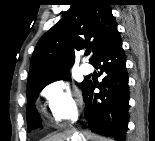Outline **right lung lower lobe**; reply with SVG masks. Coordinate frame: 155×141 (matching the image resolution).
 <instances>
[{"label":"right lung lower lobe","instance_id":"1","mask_svg":"<svg viewBox=\"0 0 155 141\" xmlns=\"http://www.w3.org/2000/svg\"><path fill=\"white\" fill-rule=\"evenodd\" d=\"M92 64L104 77L98 85L89 80L81 88L89 127L94 132L123 141L129 121V87L118 31L98 51ZM96 87L99 93H94Z\"/></svg>","mask_w":155,"mask_h":141}]
</instances>
